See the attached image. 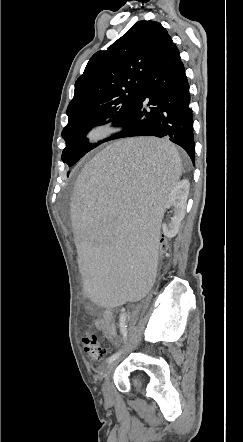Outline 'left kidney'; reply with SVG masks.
<instances>
[{"instance_id": "left-kidney-1", "label": "left kidney", "mask_w": 243, "mask_h": 442, "mask_svg": "<svg viewBox=\"0 0 243 442\" xmlns=\"http://www.w3.org/2000/svg\"><path fill=\"white\" fill-rule=\"evenodd\" d=\"M189 193V182L182 180L179 182L170 192L168 198L163 205L167 207H173L174 215L171 218V222L162 224L163 232L167 233L168 238H173L179 231L181 221L183 220L186 212V203Z\"/></svg>"}]
</instances>
